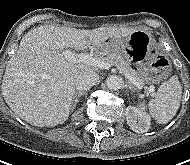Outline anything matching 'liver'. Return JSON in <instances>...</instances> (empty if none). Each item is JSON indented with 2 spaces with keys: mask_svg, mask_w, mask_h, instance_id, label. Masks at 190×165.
Instances as JSON below:
<instances>
[{
  "mask_svg": "<svg viewBox=\"0 0 190 165\" xmlns=\"http://www.w3.org/2000/svg\"><path fill=\"white\" fill-rule=\"evenodd\" d=\"M135 31L122 27L85 30L54 25L30 30L7 64L2 80L5 102L34 126L53 127L65 122L75 94L76 77L93 71L86 63L70 62L64 55L65 49L99 47L105 40L124 38Z\"/></svg>",
  "mask_w": 190,
  "mask_h": 165,
  "instance_id": "obj_1",
  "label": "liver"
}]
</instances>
